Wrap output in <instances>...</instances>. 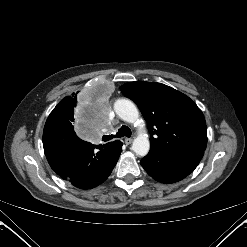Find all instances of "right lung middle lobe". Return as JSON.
<instances>
[{
    "label": "right lung middle lobe",
    "instance_id": "right-lung-middle-lobe-1",
    "mask_svg": "<svg viewBox=\"0 0 247 247\" xmlns=\"http://www.w3.org/2000/svg\"><path fill=\"white\" fill-rule=\"evenodd\" d=\"M76 100L59 107L56 106L49 115L47 121L59 122L74 127L73 124L75 120Z\"/></svg>",
    "mask_w": 247,
    "mask_h": 247
}]
</instances>
